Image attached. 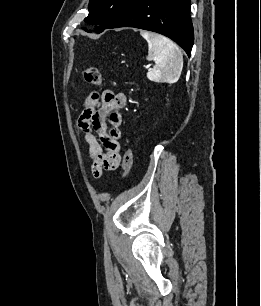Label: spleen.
I'll list each match as a JSON object with an SVG mask.
<instances>
[{
    "instance_id": "spleen-1",
    "label": "spleen",
    "mask_w": 261,
    "mask_h": 306,
    "mask_svg": "<svg viewBox=\"0 0 261 306\" xmlns=\"http://www.w3.org/2000/svg\"><path fill=\"white\" fill-rule=\"evenodd\" d=\"M140 34L148 42L147 59L155 62L147 77L154 82L176 83L183 69V55L179 47L163 35L148 31Z\"/></svg>"
}]
</instances>
